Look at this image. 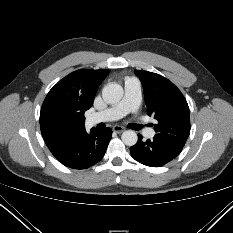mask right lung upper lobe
Instances as JSON below:
<instances>
[{"mask_svg": "<svg viewBox=\"0 0 233 233\" xmlns=\"http://www.w3.org/2000/svg\"><path fill=\"white\" fill-rule=\"evenodd\" d=\"M107 69H80L60 80L47 94L40 112L46 145L54 151L85 130L84 113L108 75Z\"/></svg>", "mask_w": 233, "mask_h": 233, "instance_id": "1", "label": "right lung upper lobe"}]
</instances>
